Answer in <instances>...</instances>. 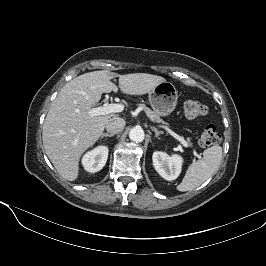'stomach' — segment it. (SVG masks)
<instances>
[{"instance_id":"1","label":"stomach","mask_w":266,"mask_h":266,"mask_svg":"<svg viewBox=\"0 0 266 266\" xmlns=\"http://www.w3.org/2000/svg\"><path fill=\"white\" fill-rule=\"evenodd\" d=\"M178 94L175 86L168 81L158 84L149 92V102L158 116H167L177 105Z\"/></svg>"}]
</instances>
